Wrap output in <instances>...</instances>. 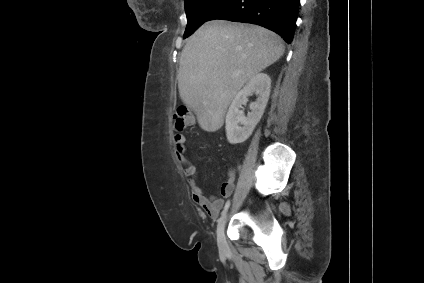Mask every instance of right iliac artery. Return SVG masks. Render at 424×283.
Listing matches in <instances>:
<instances>
[{"instance_id": "obj_1", "label": "right iliac artery", "mask_w": 424, "mask_h": 283, "mask_svg": "<svg viewBox=\"0 0 424 283\" xmlns=\"http://www.w3.org/2000/svg\"><path fill=\"white\" fill-rule=\"evenodd\" d=\"M229 206H230V201L228 200L226 202L225 206H224V209L222 211V215H224L226 213V211L228 210Z\"/></svg>"}]
</instances>
